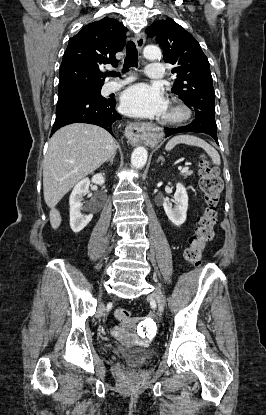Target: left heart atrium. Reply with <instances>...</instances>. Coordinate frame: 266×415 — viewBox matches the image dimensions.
<instances>
[{
	"label": "left heart atrium",
	"mask_w": 266,
	"mask_h": 415,
	"mask_svg": "<svg viewBox=\"0 0 266 415\" xmlns=\"http://www.w3.org/2000/svg\"><path fill=\"white\" fill-rule=\"evenodd\" d=\"M121 107L133 117H154L164 114L168 103L159 86L140 83L123 92Z\"/></svg>",
	"instance_id": "1"
}]
</instances>
